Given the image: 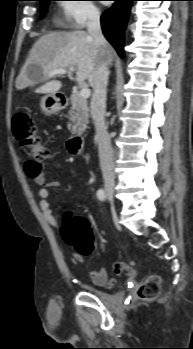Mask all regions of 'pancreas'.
Segmentation results:
<instances>
[{
  "instance_id": "1",
  "label": "pancreas",
  "mask_w": 193,
  "mask_h": 349,
  "mask_svg": "<svg viewBox=\"0 0 193 349\" xmlns=\"http://www.w3.org/2000/svg\"><path fill=\"white\" fill-rule=\"evenodd\" d=\"M71 107L68 115L73 123L72 133H83L89 123V109L87 100L80 96L79 93H73L70 97Z\"/></svg>"
}]
</instances>
